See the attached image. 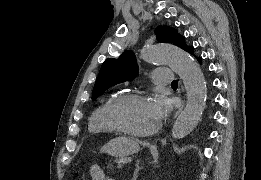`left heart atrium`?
Returning <instances> with one entry per match:
<instances>
[{"instance_id":"39dd6f15","label":"left heart atrium","mask_w":261,"mask_h":180,"mask_svg":"<svg viewBox=\"0 0 261 180\" xmlns=\"http://www.w3.org/2000/svg\"><path fill=\"white\" fill-rule=\"evenodd\" d=\"M152 102L159 112L168 111L172 108V100L165 94L155 95V97L152 99Z\"/></svg>"}]
</instances>
